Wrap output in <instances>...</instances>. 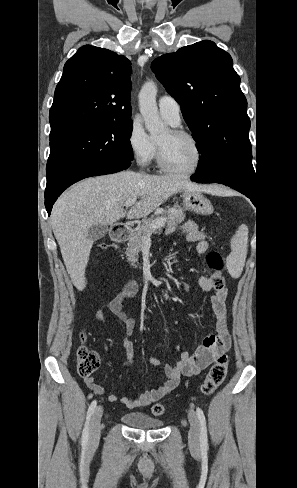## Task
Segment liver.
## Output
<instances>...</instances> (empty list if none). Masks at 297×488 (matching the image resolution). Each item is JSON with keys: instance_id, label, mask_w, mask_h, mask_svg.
I'll use <instances>...</instances> for the list:
<instances>
[{"instance_id": "6515ba94", "label": "liver", "mask_w": 297, "mask_h": 488, "mask_svg": "<svg viewBox=\"0 0 297 488\" xmlns=\"http://www.w3.org/2000/svg\"><path fill=\"white\" fill-rule=\"evenodd\" d=\"M181 190L201 192L212 188L180 176L143 175L127 170L83 180L58 198L50 218L52 229L77 290L86 287L85 270L93 245L88 230L92 225H112L124 217H146ZM131 198L140 200L126 212L123 206Z\"/></svg>"}]
</instances>
